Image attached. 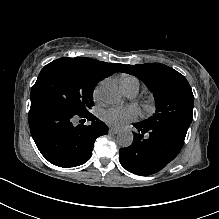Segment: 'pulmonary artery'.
<instances>
[{"mask_svg": "<svg viewBox=\"0 0 219 219\" xmlns=\"http://www.w3.org/2000/svg\"><path fill=\"white\" fill-rule=\"evenodd\" d=\"M125 94L130 97V98H133L137 95V91H127L125 92Z\"/></svg>", "mask_w": 219, "mask_h": 219, "instance_id": "1", "label": "pulmonary artery"}]
</instances>
